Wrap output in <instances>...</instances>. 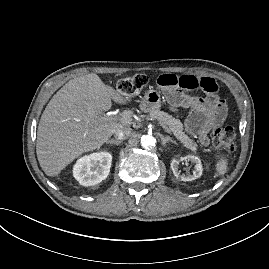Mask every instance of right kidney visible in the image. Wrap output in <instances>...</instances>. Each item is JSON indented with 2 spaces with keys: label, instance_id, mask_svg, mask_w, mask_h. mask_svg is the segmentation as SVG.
<instances>
[{
  "label": "right kidney",
  "instance_id": "right-kidney-1",
  "mask_svg": "<svg viewBox=\"0 0 269 269\" xmlns=\"http://www.w3.org/2000/svg\"><path fill=\"white\" fill-rule=\"evenodd\" d=\"M112 163L109 152H97L77 160L73 176L83 186H92L106 179Z\"/></svg>",
  "mask_w": 269,
  "mask_h": 269
}]
</instances>
